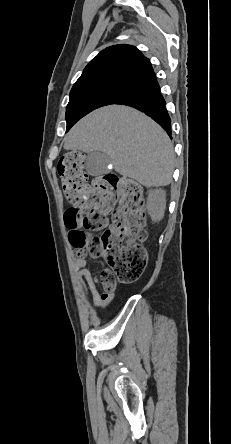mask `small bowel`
I'll use <instances>...</instances> for the list:
<instances>
[{
  "mask_svg": "<svg viewBox=\"0 0 231 444\" xmlns=\"http://www.w3.org/2000/svg\"><path fill=\"white\" fill-rule=\"evenodd\" d=\"M82 234L77 231L69 230V240L71 244L77 248L76 251V266L78 269V278L83 291L85 300L88 301L89 297L92 298L93 306L104 310L110 306L114 300V295L106 293L103 290L100 292L97 289L98 279L90 270L86 268V256L82 250Z\"/></svg>",
  "mask_w": 231,
  "mask_h": 444,
  "instance_id": "small-bowel-1",
  "label": "small bowel"
}]
</instances>
